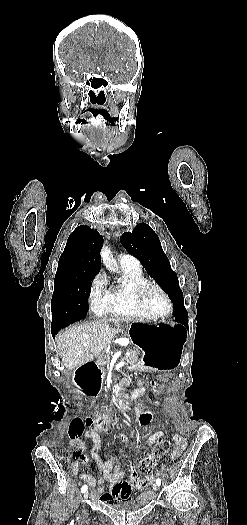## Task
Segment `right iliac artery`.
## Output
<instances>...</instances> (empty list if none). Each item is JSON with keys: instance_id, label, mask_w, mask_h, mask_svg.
I'll return each mask as SVG.
<instances>
[{"instance_id": "obj_1", "label": "right iliac artery", "mask_w": 247, "mask_h": 525, "mask_svg": "<svg viewBox=\"0 0 247 525\" xmlns=\"http://www.w3.org/2000/svg\"><path fill=\"white\" fill-rule=\"evenodd\" d=\"M88 489L87 485H83L82 488H81V491L82 492H86Z\"/></svg>"}]
</instances>
